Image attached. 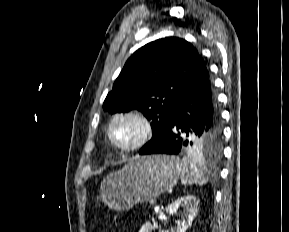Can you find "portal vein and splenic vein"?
<instances>
[{"label": "portal vein and splenic vein", "mask_w": 289, "mask_h": 232, "mask_svg": "<svg viewBox=\"0 0 289 232\" xmlns=\"http://www.w3.org/2000/svg\"><path fill=\"white\" fill-rule=\"evenodd\" d=\"M156 204V201L155 200H151L150 201V205L154 206Z\"/></svg>", "instance_id": "obj_1"}]
</instances>
